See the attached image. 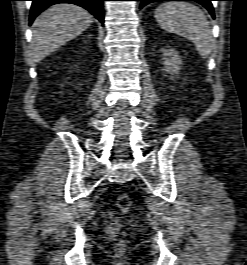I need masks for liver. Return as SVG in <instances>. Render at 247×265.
Listing matches in <instances>:
<instances>
[{
	"label": "liver",
	"mask_w": 247,
	"mask_h": 265,
	"mask_svg": "<svg viewBox=\"0 0 247 265\" xmlns=\"http://www.w3.org/2000/svg\"><path fill=\"white\" fill-rule=\"evenodd\" d=\"M92 21V15L77 5L57 4L49 7L32 25V60L42 61L68 41L79 36Z\"/></svg>",
	"instance_id": "1"
}]
</instances>
